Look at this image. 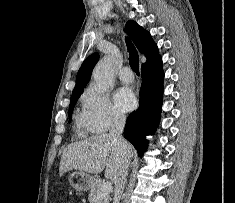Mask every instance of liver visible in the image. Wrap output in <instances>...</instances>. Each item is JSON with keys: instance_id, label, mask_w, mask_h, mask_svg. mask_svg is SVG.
<instances>
[{"instance_id": "obj_1", "label": "liver", "mask_w": 235, "mask_h": 203, "mask_svg": "<svg viewBox=\"0 0 235 203\" xmlns=\"http://www.w3.org/2000/svg\"><path fill=\"white\" fill-rule=\"evenodd\" d=\"M132 157L130 144L125 154L119 142L109 134H98L67 146L61 156L59 175L73 169L99 174L106 167L105 176L115 184L125 159L130 162Z\"/></svg>"}]
</instances>
